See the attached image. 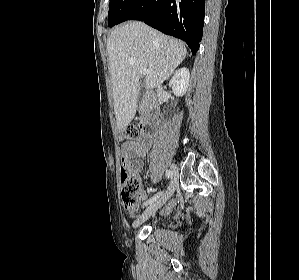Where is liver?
Segmentation results:
<instances>
[{"mask_svg":"<svg viewBox=\"0 0 299 280\" xmlns=\"http://www.w3.org/2000/svg\"><path fill=\"white\" fill-rule=\"evenodd\" d=\"M107 51L117 128L133 120L140 91V69L150 70L144 85L160 86L187 55L185 45L139 21L117 27L108 37Z\"/></svg>","mask_w":299,"mask_h":280,"instance_id":"6515ba94","label":"liver"}]
</instances>
